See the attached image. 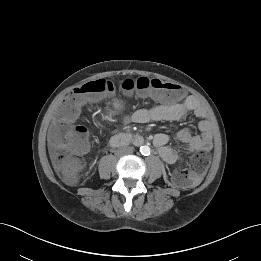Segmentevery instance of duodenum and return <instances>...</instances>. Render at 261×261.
<instances>
[{
	"instance_id": "1",
	"label": "duodenum",
	"mask_w": 261,
	"mask_h": 261,
	"mask_svg": "<svg viewBox=\"0 0 261 261\" xmlns=\"http://www.w3.org/2000/svg\"><path fill=\"white\" fill-rule=\"evenodd\" d=\"M143 141L142 136L129 132H122L111 138V144L113 146H125L131 142L141 144Z\"/></svg>"
}]
</instances>
